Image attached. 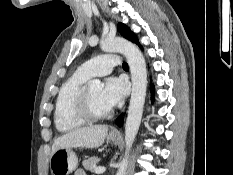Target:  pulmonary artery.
<instances>
[{
  "label": "pulmonary artery",
  "mask_w": 233,
  "mask_h": 175,
  "mask_svg": "<svg viewBox=\"0 0 233 175\" xmlns=\"http://www.w3.org/2000/svg\"><path fill=\"white\" fill-rule=\"evenodd\" d=\"M121 60L113 54L100 55L83 63L76 71V74L91 78L94 76H105L109 74L115 67L119 66Z\"/></svg>",
  "instance_id": "1"
}]
</instances>
